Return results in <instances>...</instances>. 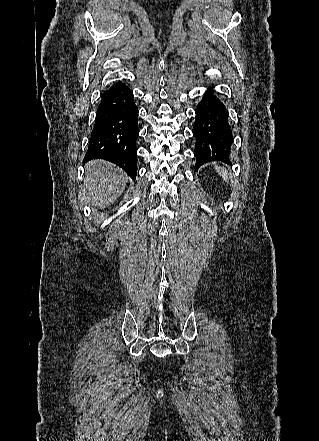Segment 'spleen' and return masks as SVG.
<instances>
[{"instance_id":"spleen-1","label":"spleen","mask_w":319,"mask_h":441,"mask_svg":"<svg viewBox=\"0 0 319 441\" xmlns=\"http://www.w3.org/2000/svg\"><path fill=\"white\" fill-rule=\"evenodd\" d=\"M216 169H217V172L227 181V180H230V177H229V174L223 169V168H220V167H216Z\"/></svg>"}]
</instances>
